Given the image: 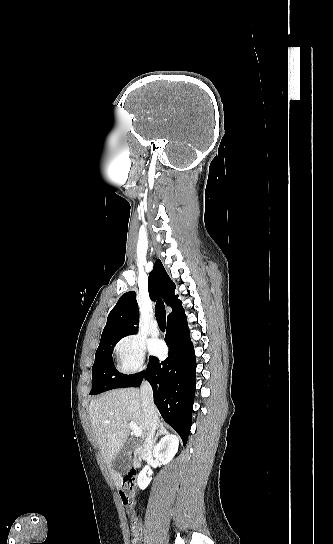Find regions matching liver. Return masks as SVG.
<instances>
[{"mask_svg":"<svg viewBox=\"0 0 333 544\" xmlns=\"http://www.w3.org/2000/svg\"><path fill=\"white\" fill-rule=\"evenodd\" d=\"M88 412L99 449L119 489L122 483L121 473L112 470L111 466L130 434L129 421L135 422L141 429L142 440H146L148 435L141 392L136 388L106 392L91 401ZM160 424L162 423L158 421L156 427L160 428Z\"/></svg>","mask_w":333,"mask_h":544,"instance_id":"6515ba94","label":"liver"}]
</instances>
